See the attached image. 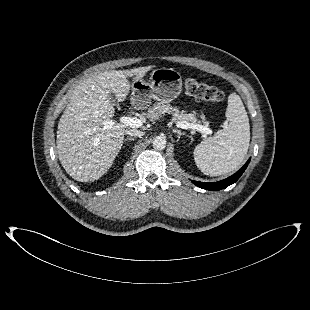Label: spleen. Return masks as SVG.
Here are the masks:
<instances>
[{
  "label": "spleen",
  "mask_w": 310,
  "mask_h": 310,
  "mask_svg": "<svg viewBox=\"0 0 310 310\" xmlns=\"http://www.w3.org/2000/svg\"><path fill=\"white\" fill-rule=\"evenodd\" d=\"M225 115L229 123L194 149L195 163L205 175L220 176L232 172L248 152L249 119L243 102L236 93L229 95Z\"/></svg>",
  "instance_id": "3e777b00"
}]
</instances>
